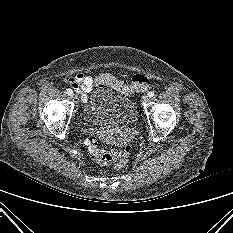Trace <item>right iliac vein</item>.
<instances>
[{
    "label": "right iliac vein",
    "mask_w": 233,
    "mask_h": 233,
    "mask_svg": "<svg viewBox=\"0 0 233 233\" xmlns=\"http://www.w3.org/2000/svg\"><path fill=\"white\" fill-rule=\"evenodd\" d=\"M71 96H72L73 99L77 98V96L75 94H72Z\"/></svg>",
    "instance_id": "obj_1"
}]
</instances>
